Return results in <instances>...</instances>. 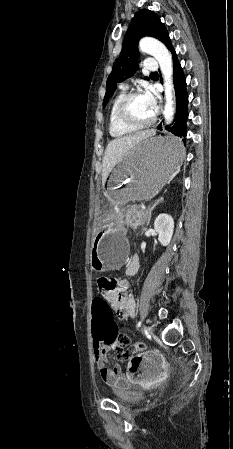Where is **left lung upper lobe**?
Segmentation results:
<instances>
[{
    "label": "left lung upper lobe",
    "mask_w": 233,
    "mask_h": 449,
    "mask_svg": "<svg viewBox=\"0 0 233 449\" xmlns=\"http://www.w3.org/2000/svg\"><path fill=\"white\" fill-rule=\"evenodd\" d=\"M144 36L154 37L163 42L171 51V44L165 25L159 16L150 10H140L132 19L126 33L120 56L116 59L112 72L106 83V94L103 101L105 108L118 83L131 77L137 69L138 41ZM146 80H149L145 77Z\"/></svg>",
    "instance_id": "5c2ea615"
}]
</instances>
